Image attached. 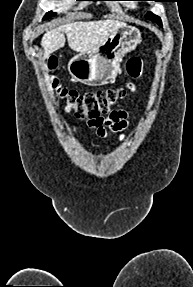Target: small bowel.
<instances>
[{
	"label": "small bowel",
	"instance_id": "obj_1",
	"mask_svg": "<svg viewBox=\"0 0 193 287\" xmlns=\"http://www.w3.org/2000/svg\"><path fill=\"white\" fill-rule=\"evenodd\" d=\"M89 126L94 130L96 136L107 137L110 132L120 134L123 137L124 131L128 127L127 113L124 110H114L109 116L101 120H89Z\"/></svg>",
	"mask_w": 193,
	"mask_h": 287
}]
</instances>
